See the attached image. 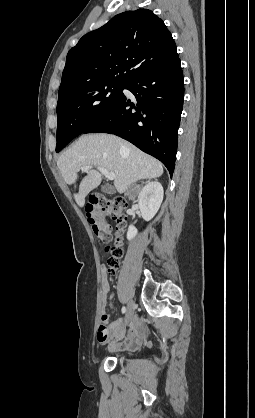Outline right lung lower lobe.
Returning <instances> with one entry per match:
<instances>
[{
  "mask_svg": "<svg viewBox=\"0 0 255 418\" xmlns=\"http://www.w3.org/2000/svg\"><path fill=\"white\" fill-rule=\"evenodd\" d=\"M136 104L122 95L110 112L83 133L115 134L159 159L172 176L184 99L180 59L150 68L130 80Z\"/></svg>",
  "mask_w": 255,
  "mask_h": 418,
  "instance_id": "98d812e1",
  "label": "right lung lower lobe"
}]
</instances>
